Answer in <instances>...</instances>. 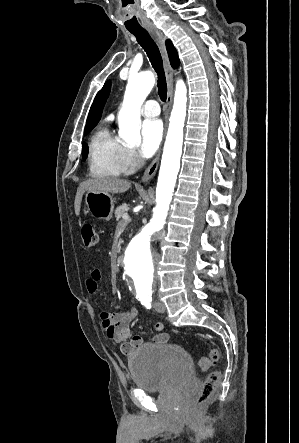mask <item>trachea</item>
<instances>
[{
	"instance_id": "3493384b",
	"label": "trachea",
	"mask_w": 299,
	"mask_h": 443,
	"mask_svg": "<svg viewBox=\"0 0 299 443\" xmlns=\"http://www.w3.org/2000/svg\"><path fill=\"white\" fill-rule=\"evenodd\" d=\"M145 50L154 70L158 76V95L165 102L167 98V83L163 69V61L158 46L145 29L129 30Z\"/></svg>"
}]
</instances>
